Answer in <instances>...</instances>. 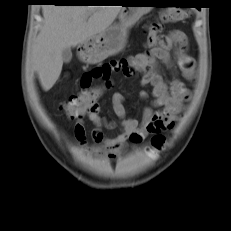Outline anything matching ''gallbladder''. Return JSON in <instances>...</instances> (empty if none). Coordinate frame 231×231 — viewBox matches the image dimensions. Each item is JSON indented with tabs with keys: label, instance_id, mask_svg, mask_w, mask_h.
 Instances as JSON below:
<instances>
[{
	"label": "gallbladder",
	"instance_id": "gallbladder-1",
	"mask_svg": "<svg viewBox=\"0 0 231 231\" xmlns=\"http://www.w3.org/2000/svg\"><path fill=\"white\" fill-rule=\"evenodd\" d=\"M62 59L64 63H69L72 59V52L70 48H65L62 52Z\"/></svg>",
	"mask_w": 231,
	"mask_h": 231
}]
</instances>
